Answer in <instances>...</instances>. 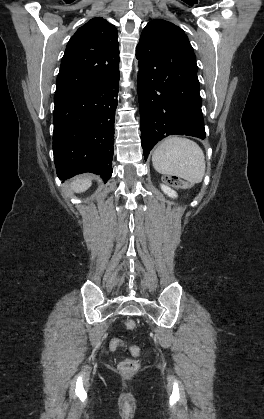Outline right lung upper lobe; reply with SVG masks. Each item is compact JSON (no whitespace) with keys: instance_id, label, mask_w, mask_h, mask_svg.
<instances>
[{"instance_id":"right-lung-upper-lobe-1","label":"right lung upper lobe","mask_w":264,"mask_h":419,"mask_svg":"<svg viewBox=\"0 0 264 419\" xmlns=\"http://www.w3.org/2000/svg\"><path fill=\"white\" fill-rule=\"evenodd\" d=\"M118 32L103 18H93L71 37L61 61L56 93L103 82L119 72Z\"/></svg>"}]
</instances>
